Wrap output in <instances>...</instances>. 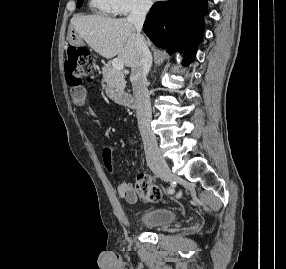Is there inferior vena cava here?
Listing matches in <instances>:
<instances>
[{
  "label": "inferior vena cava",
  "instance_id": "inferior-vena-cava-1",
  "mask_svg": "<svg viewBox=\"0 0 286 269\" xmlns=\"http://www.w3.org/2000/svg\"><path fill=\"white\" fill-rule=\"evenodd\" d=\"M150 6L151 5L146 2L135 3L127 17V20L134 25L137 31L139 57L132 67L130 80L135 97L138 126L142 136L147 162L162 159L155 134L151 129L152 112L150 95L146 87V76L152 65V55L144 37L141 35L143 23Z\"/></svg>",
  "mask_w": 286,
  "mask_h": 269
}]
</instances>
